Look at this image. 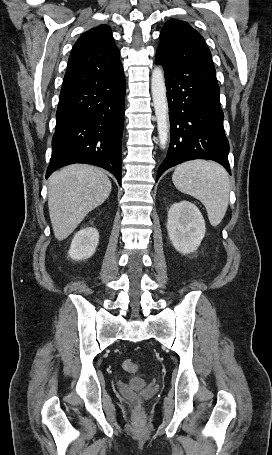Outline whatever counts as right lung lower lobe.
Masks as SVG:
<instances>
[{"label": "right lung lower lobe", "instance_id": "right-lung-lower-lobe-1", "mask_svg": "<svg viewBox=\"0 0 272 455\" xmlns=\"http://www.w3.org/2000/svg\"><path fill=\"white\" fill-rule=\"evenodd\" d=\"M124 109V73L61 93L46 178L65 165L87 163L108 170L121 184Z\"/></svg>", "mask_w": 272, "mask_h": 455}]
</instances>
